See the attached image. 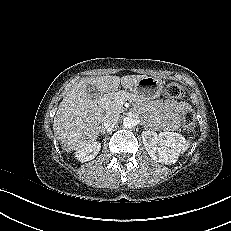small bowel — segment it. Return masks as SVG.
I'll list each match as a JSON object with an SVG mask.
<instances>
[{"label":"small bowel","instance_id":"obj_1","mask_svg":"<svg viewBox=\"0 0 231 231\" xmlns=\"http://www.w3.org/2000/svg\"><path fill=\"white\" fill-rule=\"evenodd\" d=\"M151 109L157 116L158 124L165 129H174L177 126V119L184 111L189 110L186 102L164 100L154 102Z\"/></svg>","mask_w":231,"mask_h":231}]
</instances>
